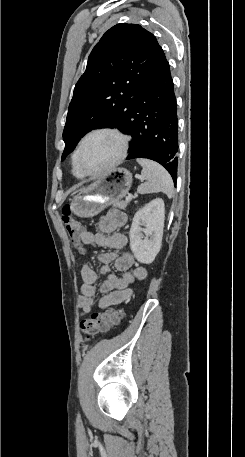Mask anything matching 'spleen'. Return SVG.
Instances as JSON below:
<instances>
[{"mask_svg": "<svg viewBox=\"0 0 245 457\" xmlns=\"http://www.w3.org/2000/svg\"><path fill=\"white\" fill-rule=\"evenodd\" d=\"M137 162L142 166V176H145L146 182L139 184L137 192L140 194H149V192H165L168 198L174 194L173 180L166 168L149 160V158H137Z\"/></svg>", "mask_w": 245, "mask_h": 457, "instance_id": "3e777b00", "label": "spleen"}]
</instances>
